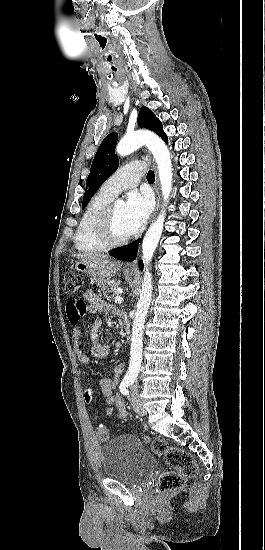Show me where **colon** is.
I'll use <instances>...</instances> for the list:
<instances>
[{"label":"colon","mask_w":265,"mask_h":550,"mask_svg":"<svg viewBox=\"0 0 265 550\" xmlns=\"http://www.w3.org/2000/svg\"><path fill=\"white\" fill-rule=\"evenodd\" d=\"M84 287L83 277L75 272L64 274V288L68 295H76ZM77 311L69 315V322L75 326L78 325L80 317L83 315L85 303L82 300H73L69 302ZM85 400L88 405L95 402L94 390L89 388L85 391ZM97 437L101 442H106L109 438V431L104 425L97 428ZM152 450L165 458L166 463L171 467V471L164 472L157 486L158 493H167L181 488L187 478L196 476L198 472L197 465L192 456L177 447L169 446L164 440L155 438L147 439Z\"/></svg>","instance_id":"1"}]
</instances>
